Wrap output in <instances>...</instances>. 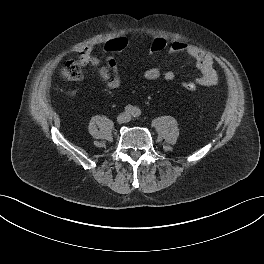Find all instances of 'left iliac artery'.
<instances>
[{
    "label": "left iliac artery",
    "instance_id": "44dca946",
    "mask_svg": "<svg viewBox=\"0 0 264 264\" xmlns=\"http://www.w3.org/2000/svg\"><path fill=\"white\" fill-rule=\"evenodd\" d=\"M140 114H141V111H140V109H138V108H135V109H134V111H133V116H134V117H139V116H140Z\"/></svg>",
    "mask_w": 264,
    "mask_h": 264
}]
</instances>
